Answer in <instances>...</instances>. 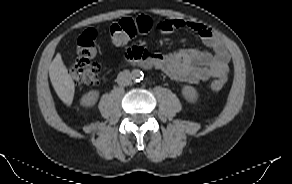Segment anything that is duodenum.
<instances>
[{
  "mask_svg": "<svg viewBox=\"0 0 292 184\" xmlns=\"http://www.w3.org/2000/svg\"><path fill=\"white\" fill-rule=\"evenodd\" d=\"M130 59L139 67V68H149L155 64V59L152 55L143 54L142 52L131 51L129 52Z\"/></svg>",
  "mask_w": 292,
  "mask_h": 184,
  "instance_id": "410a0bca",
  "label": "duodenum"
}]
</instances>
